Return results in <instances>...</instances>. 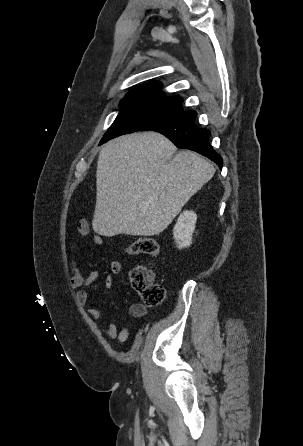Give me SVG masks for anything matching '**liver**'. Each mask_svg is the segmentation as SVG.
Returning a JSON list of instances; mask_svg holds the SVG:
<instances>
[{
	"label": "liver",
	"mask_w": 303,
	"mask_h": 446,
	"mask_svg": "<svg viewBox=\"0 0 303 446\" xmlns=\"http://www.w3.org/2000/svg\"><path fill=\"white\" fill-rule=\"evenodd\" d=\"M176 151L156 132L109 141L97 162L96 233L154 236L214 175L213 165L191 151ZM172 158V159H171Z\"/></svg>",
	"instance_id": "liver-1"
}]
</instances>
